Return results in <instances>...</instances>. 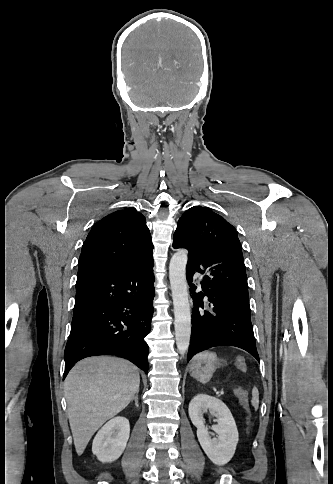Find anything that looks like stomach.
<instances>
[{
	"instance_id": "1",
	"label": "stomach",
	"mask_w": 333,
	"mask_h": 484,
	"mask_svg": "<svg viewBox=\"0 0 333 484\" xmlns=\"http://www.w3.org/2000/svg\"><path fill=\"white\" fill-rule=\"evenodd\" d=\"M222 360L213 352L205 351L196 355L190 365L191 376L201 383L208 382Z\"/></svg>"
}]
</instances>
